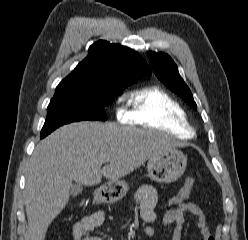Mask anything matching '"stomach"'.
I'll return each instance as SVG.
<instances>
[{
	"label": "stomach",
	"instance_id": "0dacf381",
	"mask_svg": "<svg viewBox=\"0 0 248 240\" xmlns=\"http://www.w3.org/2000/svg\"><path fill=\"white\" fill-rule=\"evenodd\" d=\"M187 157L180 150L173 149L151 157L147 163L150 178L158 183H171L184 173ZM128 191V184L122 180L109 181L98 192L102 202L113 203L122 199Z\"/></svg>",
	"mask_w": 248,
	"mask_h": 240
}]
</instances>
